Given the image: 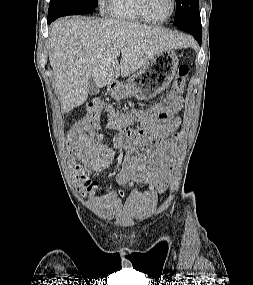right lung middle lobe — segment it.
Returning a JSON list of instances; mask_svg holds the SVG:
<instances>
[{
  "label": "right lung middle lobe",
  "mask_w": 253,
  "mask_h": 285,
  "mask_svg": "<svg viewBox=\"0 0 253 285\" xmlns=\"http://www.w3.org/2000/svg\"><path fill=\"white\" fill-rule=\"evenodd\" d=\"M97 0H50L48 17L85 14L94 10Z\"/></svg>",
  "instance_id": "dd1d6c3e"
}]
</instances>
